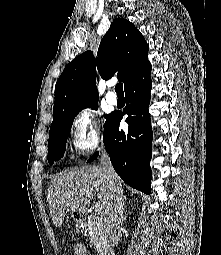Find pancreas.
<instances>
[{
  "instance_id": "1",
  "label": "pancreas",
  "mask_w": 221,
  "mask_h": 255,
  "mask_svg": "<svg viewBox=\"0 0 221 255\" xmlns=\"http://www.w3.org/2000/svg\"><path fill=\"white\" fill-rule=\"evenodd\" d=\"M104 221L96 214L88 216V219L84 222V227L87 230L91 241L97 247L98 251L103 249L102 243L99 240L98 234L103 227Z\"/></svg>"
}]
</instances>
